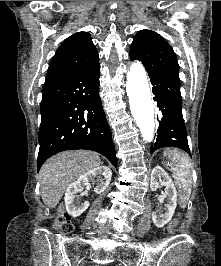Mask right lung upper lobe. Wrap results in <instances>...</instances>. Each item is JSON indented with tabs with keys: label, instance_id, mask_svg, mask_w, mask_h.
<instances>
[{
	"label": "right lung upper lobe",
	"instance_id": "right-lung-upper-lobe-1",
	"mask_svg": "<svg viewBox=\"0 0 221 266\" xmlns=\"http://www.w3.org/2000/svg\"><path fill=\"white\" fill-rule=\"evenodd\" d=\"M99 60L88 32H77L57 49L47 71L44 86L83 71Z\"/></svg>",
	"mask_w": 221,
	"mask_h": 266
}]
</instances>
